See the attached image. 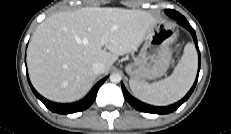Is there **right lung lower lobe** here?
<instances>
[{
    "mask_svg": "<svg viewBox=\"0 0 231 134\" xmlns=\"http://www.w3.org/2000/svg\"><path fill=\"white\" fill-rule=\"evenodd\" d=\"M27 77H28V75H27ZM105 79L99 81L86 98H84L83 100H81L79 102L72 103V104H57V103L50 102V101L44 99L43 97H41L35 91V89L32 87V85L29 81V77H28V82H29V85H30L32 91L34 92L35 96L39 100H41L43 102V104H45V106L48 109H50L53 112L60 113V114H70L73 112H79V111L87 109L94 102V100L96 98L97 91H98L99 87L103 84Z\"/></svg>",
    "mask_w": 231,
    "mask_h": 134,
    "instance_id": "1",
    "label": "right lung lower lobe"
}]
</instances>
